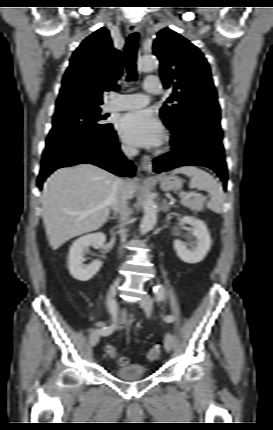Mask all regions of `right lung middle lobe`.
Listing matches in <instances>:
<instances>
[{"label":"right lung middle lobe","instance_id":"dd1d6c3e","mask_svg":"<svg viewBox=\"0 0 273 430\" xmlns=\"http://www.w3.org/2000/svg\"><path fill=\"white\" fill-rule=\"evenodd\" d=\"M105 119L96 104L74 100L57 106L45 150L107 136L113 126L104 123Z\"/></svg>","mask_w":273,"mask_h":430}]
</instances>
